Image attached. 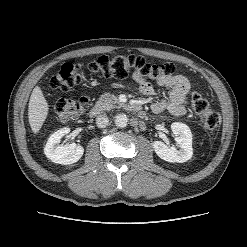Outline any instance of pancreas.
I'll use <instances>...</instances> for the list:
<instances>
[{
  "mask_svg": "<svg viewBox=\"0 0 247 247\" xmlns=\"http://www.w3.org/2000/svg\"><path fill=\"white\" fill-rule=\"evenodd\" d=\"M96 105L101 107L103 110H110L112 108H120L124 104L121 103L115 95L105 93L99 97Z\"/></svg>",
  "mask_w": 247,
  "mask_h": 247,
  "instance_id": "cf45deb5",
  "label": "pancreas"
}]
</instances>
